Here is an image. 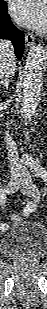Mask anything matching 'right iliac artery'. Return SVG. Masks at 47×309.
I'll list each match as a JSON object with an SVG mask.
<instances>
[{
  "label": "right iliac artery",
  "mask_w": 47,
  "mask_h": 309,
  "mask_svg": "<svg viewBox=\"0 0 47 309\" xmlns=\"http://www.w3.org/2000/svg\"><path fill=\"white\" fill-rule=\"evenodd\" d=\"M6 203V192L5 190H2L0 193V205L3 207ZM6 224H1L0 229L5 230Z\"/></svg>",
  "instance_id": "82829eb1"
}]
</instances>
